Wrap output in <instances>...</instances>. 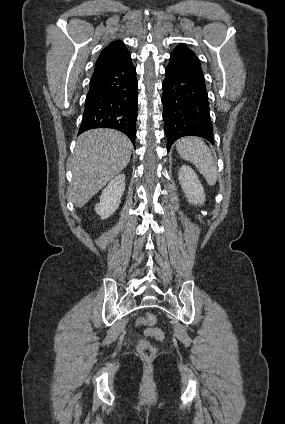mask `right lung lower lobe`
Returning <instances> with one entry per match:
<instances>
[{"instance_id": "obj_1", "label": "right lung lower lobe", "mask_w": 285, "mask_h": 424, "mask_svg": "<svg viewBox=\"0 0 285 424\" xmlns=\"http://www.w3.org/2000/svg\"><path fill=\"white\" fill-rule=\"evenodd\" d=\"M137 87L131 58L94 71L78 134L94 128H113L135 144Z\"/></svg>"}]
</instances>
